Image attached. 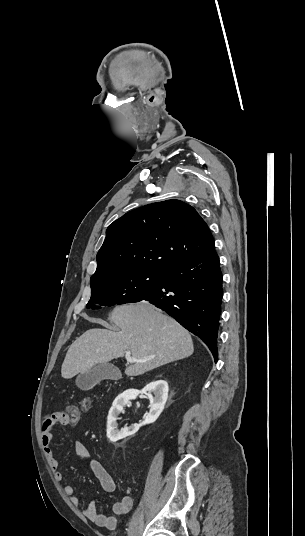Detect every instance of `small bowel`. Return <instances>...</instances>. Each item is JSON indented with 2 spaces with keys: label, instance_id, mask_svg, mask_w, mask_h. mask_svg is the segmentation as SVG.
I'll use <instances>...</instances> for the list:
<instances>
[{
  "label": "small bowel",
  "instance_id": "obj_1",
  "mask_svg": "<svg viewBox=\"0 0 305 536\" xmlns=\"http://www.w3.org/2000/svg\"><path fill=\"white\" fill-rule=\"evenodd\" d=\"M64 418L65 415L61 409H58L57 411H45L43 413V420L39 422V425L41 426V444L57 482H62L64 480V475L59 470L58 459L51 448L53 438L51 430L54 426L61 427L63 425L64 427H67L69 422ZM74 450L99 480L102 488L107 493H113L116 490L114 479L98 460L90 457L87 447L82 442L77 441L74 444ZM64 493L69 497L74 506L80 505V498L74 494V487L72 485H65ZM132 506V498L130 496H123L113 504L112 510L115 515L123 516L130 512ZM83 514L98 527L106 528L108 530H115L117 528V518L98 512L94 501H91L88 506L83 509Z\"/></svg>",
  "mask_w": 305,
  "mask_h": 536
}]
</instances>
